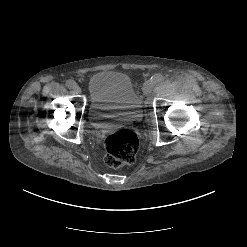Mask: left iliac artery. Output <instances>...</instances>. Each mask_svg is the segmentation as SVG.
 I'll return each instance as SVG.
<instances>
[{
	"label": "left iliac artery",
	"instance_id": "44dca946",
	"mask_svg": "<svg viewBox=\"0 0 247 247\" xmlns=\"http://www.w3.org/2000/svg\"><path fill=\"white\" fill-rule=\"evenodd\" d=\"M163 80V75L162 74H155L151 77V82L152 83H158Z\"/></svg>",
	"mask_w": 247,
	"mask_h": 247
}]
</instances>
